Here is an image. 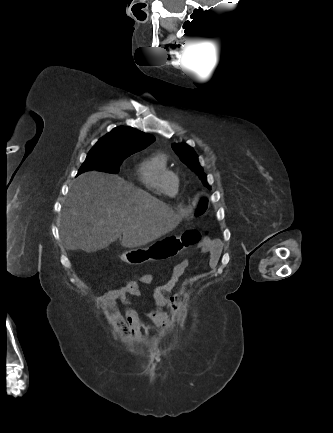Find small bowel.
I'll list each match as a JSON object with an SVG mask.
<instances>
[{
  "mask_svg": "<svg viewBox=\"0 0 333 433\" xmlns=\"http://www.w3.org/2000/svg\"><path fill=\"white\" fill-rule=\"evenodd\" d=\"M180 250L181 247L179 248V252ZM201 250L209 253L208 266L210 268L216 267L221 255L220 246L217 243H207L201 246ZM188 264L189 261L186 257L180 259L173 266L169 278L165 282L154 283L153 275L146 273L141 277L139 282L135 281L125 287L111 290L100 299L99 306L107 324L116 328L123 344L131 346L133 344L145 343L146 327L139 320L141 313L148 316L161 327L163 336L169 335L175 329L174 322L162 312L164 307H169L178 319L183 322L187 321L188 296H171L170 294L178 279L185 272ZM142 285L152 287V308L138 309L134 306L142 295ZM116 301L130 306L123 315L119 312L109 311L105 307L106 302Z\"/></svg>",
  "mask_w": 333,
  "mask_h": 433,
  "instance_id": "1",
  "label": "small bowel"
}]
</instances>
